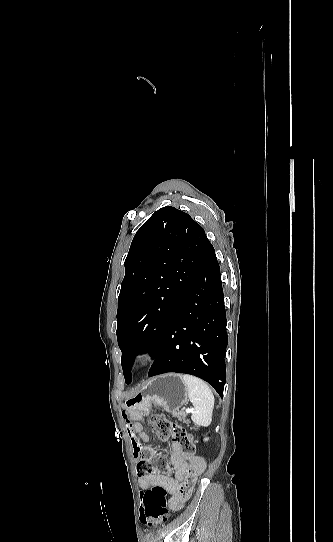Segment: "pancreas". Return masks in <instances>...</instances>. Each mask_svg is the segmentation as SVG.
Wrapping results in <instances>:
<instances>
[{
  "label": "pancreas",
  "instance_id": "1",
  "mask_svg": "<svg viewBox=\"0 0 333 542\" xmlns=\"http://www.w3.org/2000/svg\"><path fill=\"white\" fill-rule=\"evenodd\" d=\"M186 412L184 410H181V412H172V418H178L180 422H184V424H189V420H186Z\"/></svg>",
  "mask_w": 333,
  "mask_h": 542
}]
</instances>
